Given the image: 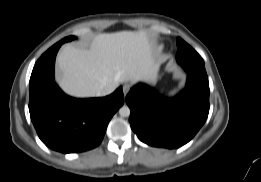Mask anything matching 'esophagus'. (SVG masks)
<instances>
[{"mask_svg":"<svg viewBox=\"0 0 261 182\" xmlns=\"http://www.w3.org/2000/svg\"><path fill=\"white\" fill-rule=\"evenodd\" d=\"M131 86L129 84H124L123 85V93L124 95H127V93L130 91Z\"/></svg>","mask_w":261,"mask_h":182,"instance_id":"esophagus-1","label":"esophagus"}]
</instances>
